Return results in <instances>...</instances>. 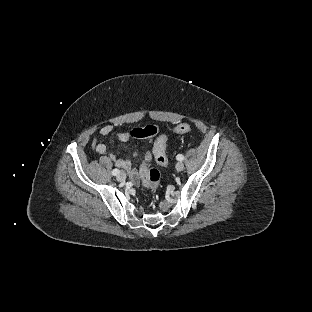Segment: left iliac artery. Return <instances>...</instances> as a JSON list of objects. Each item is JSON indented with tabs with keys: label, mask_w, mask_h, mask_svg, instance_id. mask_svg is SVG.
<instances>
[{
	"label": "left iliac artery",
	"mask_w": 312,
	"mask_h": 312,
	"mask_svg": "<svg viewBox=\"0 0 312 312\" xmlns=\"http://www.w3.org/2000/svg\"><path fill=\"white\" fill-rule=\"evenodd\" d=\"M176 158H177V160H179V161L184 160V156H183L182 154H178Z\"/></svg>",
	"instance_id": "1"
}]
</instances>
